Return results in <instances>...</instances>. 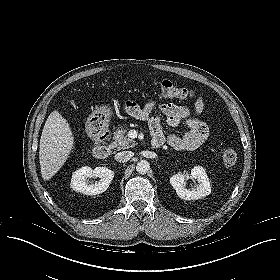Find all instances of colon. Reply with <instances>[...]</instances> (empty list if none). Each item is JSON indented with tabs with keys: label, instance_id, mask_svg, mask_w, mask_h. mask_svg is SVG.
Masks as SVG:
<instances>
[{
	"label": "colon",
	"instance_id": "5ec220e1",
	"mask_svg": "<svg viewBox=\"0 0 280 280\" xmlns=\"http://www.w3.org/2000/svg\"><path fill=\"white\" fill-rule=\"evenodd\" d=\"M158 91L161 96L166 98L192 100L195 97L193 89L177 86L169 80L158 81ZM237 157L238 153L233 147H225L222 150V162L227 167L233 166L237 161Z\"/></svg>",
	"mask_w": 280,
	"mask_h": 280
}]
</instances>
